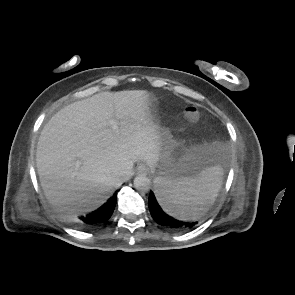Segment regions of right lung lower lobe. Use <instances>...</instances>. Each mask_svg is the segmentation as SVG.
Wrapping results in <instances>:
<instances>
[{
  "label": "right lung lower lobe",
  "mask_w": 295,
  "mask_h": 295,
  "mask_svg": "<svg viewBox=\"0 0 295 295\" xmlns=\"http://www.w3.org/2000/svg\"><path fill=\"white\" fill-rule=\"evenodd\" d=\"M117 200V194L115 193L112 198L108 200L98 210L82 216L80 219L85 227H94L101 223L106 222L112 215Z\"/></svg>",
  "instance_id": "right-lung-lower-lobe-1"
}]
</instances>
